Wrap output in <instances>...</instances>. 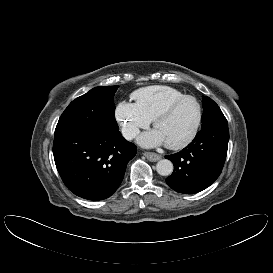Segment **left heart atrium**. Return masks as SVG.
<instances>
[{
	"mask_svg": "<svg viewBox=\"0 0 273 273\" xmlns=\"http://www.w3.org/2000/svg\"><path fill=\"white\" fill-rule=\"evenodd\" d=\"M137 142L143 147H154L165 144L162 136L156 131H148L138 136Z\"/></svg>",
	"mask_w": 273,
	"mask_h": 273,
	"instance_id": "39dd6f15",
	"label": "left heart atrium"
}]
</instances>
